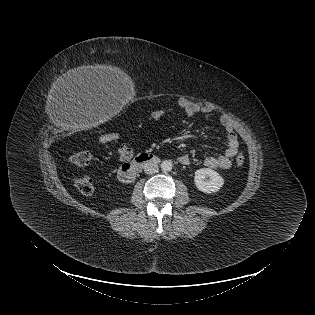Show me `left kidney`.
Returning <instances> with one entry per match:
<instances>
[{"mask_svg":"<svg viewBox=\"0 0 315 315\" xmlns=\"http://www.w3.org/2000/svg\"><path fill=\"white\" fill-rule=\"evenodd\" d=\"M194 182L196 187L206 193H214L224 185V179L216 171L201 168L195 172Z\"/></svg>","mask_w":315,"mask_h":315,"instance_id":"left-kidney-1","label":"left kidney"}]
</instances>
